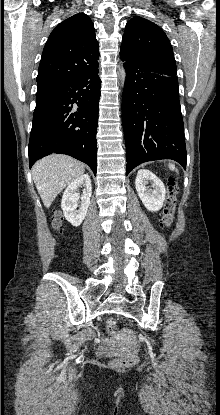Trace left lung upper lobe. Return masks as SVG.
<instances>
[{"instance_id": "obj_1", "label": "left lung upper lobe", "mask_w": 220, "mask_h": 415, "mask_svg": "<svg viewBox=\"0 0 220 415\" xmlns=\"http://www.w3.org/2000/svg\"><path fill=\"white\" fill-rule=\"evenodd\" d=\"M120 57L133 66L177 74L168 37L159 26L142 17H134L126 24Z\"/></svg>"}]
</instances>
